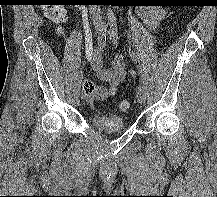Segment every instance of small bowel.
Masks as SVG:
<instances>
[{
	"label": "small bowel",
	"mask_w": 217,
	"mask_h": 197,
	"mask_svg": "<svg viewBox=\"0 0 217 197\" xmlns=\"http://www.w3.org/2000/svg\"><path fill=\"white\" fill-rule=\"evenodd\" d=\"M140 16L147 26L150 28H156L161 21L163 14L160 10L153 9H143L140 11ZM104 45L98 42L91 55V64L96 71L98 77L109 84L107 88L104 87L106 95L103 99L108 96H113L117 93L118 86L127 76L134 77L135 73L131 68H128L122 55L116 54L111 59V69H106L104 67L103 59ZM102 100V99H101Z\"/></svg>",
	"instance_id": "1"
}]
</instances>
